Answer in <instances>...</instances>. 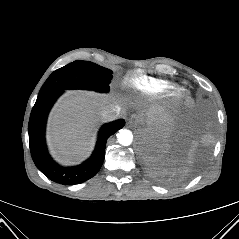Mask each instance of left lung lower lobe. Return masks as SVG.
<instances>
[{
	"mask_svg": "<svg viewBox=\"0 0 239 239\" xmlns=\"http://www.w3.org/2000/svg\"><path fill=\"white\" fill-rule=\"evenodd\" d=\"M203 117V110L196 108L192 115L187 117V125L194 128L200 123ZM190 129V128H187ZM174 136L158 133L145 137L140 145L141 156L148 168L149 173L156 178H164L167 157L173 148Z\"/></svg>",
	"mask_w": 239,
	"mask_h": 239,
	"instance_id": "0a47b994",
	"label": "left lung lower lobe"
}]
</instances>
